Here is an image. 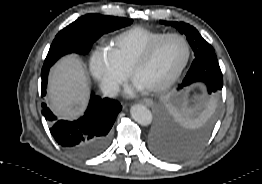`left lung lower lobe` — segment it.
Segmentation results:
<instances>
[{"label":"left lung lower lobe","mask_w":262,"mask_h":184,"mask_svg":"<svg viewBox=\"0 0 262 184\" xmlns=\"http://www.w3.org/2000/svg\"><path fill=\"white\" fill-rule=\"evenodd\" d=\"M189 70L193 71V75L198 79L205 78V75L212 79H223L215 52L196 57ZM208 132V129H205L193 135H179L169 121L158 113L149 134V148L161 160L180 161L194 155L204 146Z\"/></svg>","instance_id":"1"}]
</instances>
